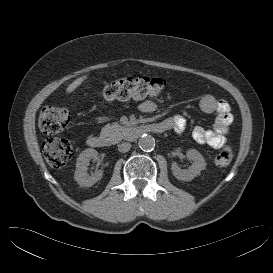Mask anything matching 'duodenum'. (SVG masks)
<instances>
[{
    "mask_svg": "<svg viewBox=\"0 0 273 273\" xmlns=\"http://www.w3.org/2000/svg\"><path fill=\"white\" fill-rule=\"evenodd\" d=\"M167 130L164 123H155L149 125H136L130 129V138L135 140L144 134H159ZM87 144L91 148L101 149L110 145L107 137L102 135H93L87 139Z\"/></svg>",
    "mask_w": 273,
    "mask_h": 273,
    "instance_id": "obj_1",
    "label": "duodenum"
}]
</instances>
